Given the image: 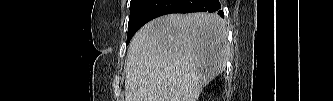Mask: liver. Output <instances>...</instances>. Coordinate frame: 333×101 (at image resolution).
<instances>
[{"instance_id": "liver-1", "label": "liver", "mask_w": 333, "mask_h": 101, "mask_svg": "<svg viewBox=\"0 0 333 101\" xmlns=\"http://www.w3.org/2000/svg\"><path fill=\"white\" fill-rule=\"evenodd\" d=\"M217 14H169L144 25L127 52L125 101H197L229 59Z\"/></svg>"}]
</instances>
